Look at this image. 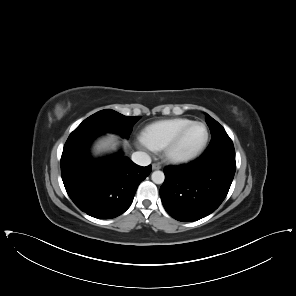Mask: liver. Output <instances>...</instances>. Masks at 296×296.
I'll use <instances>...</instances> for the list:
<instances>
[{"instance_id": "obj_1", "label": "liver", "mask_w": 296, "mask_h": 296, "mask_svg": "<svg viewBox=\"0 0 296 296\" xmlns=\"http://www.w3.org/2000/svg\"><path fill=\"white\" fill-rule=\"evenodd\" d=\"M118 136L114 134H108L106 137L99 139L93 147L95 154H100L103 152L114 151L119 145ZM124 147H128L129 144L126 140L123 141Z\"/></svg>"}]
</instances>
